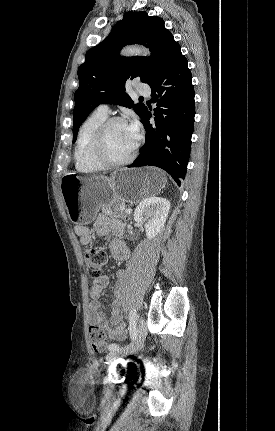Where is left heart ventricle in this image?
Segmentation results:
<instances>
[{"label":"left heart ventricle","instance_id":"b2bd125f","mask_svg":"<svg viewBox=\"0 0 275 431\" xmlns=\"http://www.w3.org/2000/svg\"><path fill=\"white\" fill-rule=\"evenodd\" d=\"M134 146L126 123L116 124L109 130L106 138V153L110 159L120 161L127 158Z\"/></svg>","mask_w":275,"mask_h":431}]
</instances>
